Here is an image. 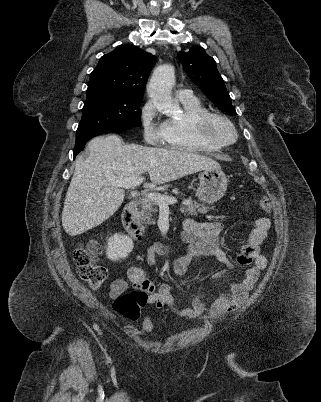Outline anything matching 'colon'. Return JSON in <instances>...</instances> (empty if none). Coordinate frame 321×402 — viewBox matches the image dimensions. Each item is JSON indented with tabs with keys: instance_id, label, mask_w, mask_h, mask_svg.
<instances>
[{
	"instance_id": "obj_1",
	"label": "colon",
	"mask_w": 321,
	"mask_h": 402,
	"mask_svg": "<svg viewBox=\"0 0 321 402\" xmlns=\"http://www.w3.org/2000/svg\"><path fill=\"white\" fill-rule=\"evenodd\" d=\"M259 204L264 212H270L271 201L269 198H261ZM100 251L101 244L98 241H90L77 247L74 252V263L78 274L92 289L100 288L107 278L106 268L95 260ZM148 298V294L142 289L127 292L116 297L113 309L121 317L137 321L141 308L147 304Z\"/></svg>"
}]
</instances>
